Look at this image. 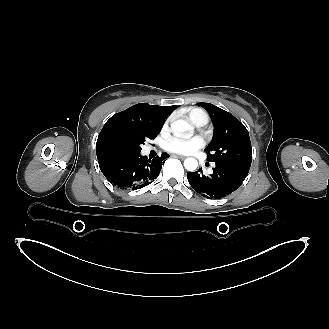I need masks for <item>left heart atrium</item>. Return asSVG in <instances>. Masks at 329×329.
I'll return each instance as SVG.
<instances>
[{
  "label": "left heart atrium",
  "mask_w": 329,
  "mask_h": 329,
  "mask_svg": "<svg viewBox=\"0 0 329 329\" xmlns=\"http://www.w3.org/2000/svg\"><path fill=\"white\" fill-rule=\"evenodd\" d=\"M165 149L177 154H192L204 146V140L200 136L191 138L171 137L166 140Z\"/></svg>",
  "instance_id": "39dd6f15"
}]
</instances>
